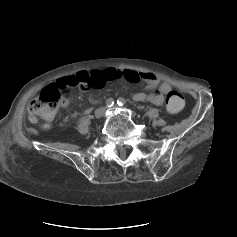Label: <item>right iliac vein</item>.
I'll list each match as a JSON object with an SVG mask.
<instances>
[{
	"mask_svg": "<svg viewBox=\"0 0 237 237\" xmlns=\"http://www.w3.org/2000/svg\"><path fill=\"white\" fill-rule=\"evenodd\" d=\"M104 112H105V109L103 107L101 108H98L96 111H95V117L97 119H101L104 115Z\"/></svg>",
	"mask_w": 237,
	"mask_h": 237,
	"instance_id": "1",
	"label": "right iliac vein"
}]
</instances>
